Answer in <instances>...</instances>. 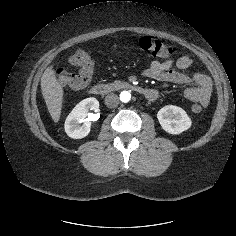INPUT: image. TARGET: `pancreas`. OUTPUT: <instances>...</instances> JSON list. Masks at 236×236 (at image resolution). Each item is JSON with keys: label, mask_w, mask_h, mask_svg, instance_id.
<instances>
[{"label": "pancreas", "mask_w": 236, "mask_h": 236, "mask_svg": "<svg viewBox=\"0 0 236 236\" xmlns=\"http://www.w3.org/2000/svg\"><path fill=\"white\" fill-rule=\"evenodd\" d=\"M120 82L119 81H115L114 83L111 84L112 88H115Z\"/></svg>", "instance_id": "1"}]
</instances>
